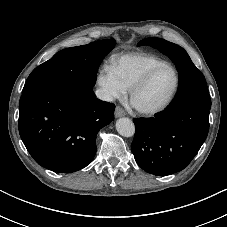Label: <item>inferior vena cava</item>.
<instances>
[{"label":"inferior vena cava","mask_w":227,"mask_h":227,"mask_svg":"<svg viewBox=\"0 0 227 227\" xmlns=\"http://www.w3.org/2000/svg\"><path fill=\"white\" fill-rule=\"evenodd\" d=\"M96 97L100 100L107 101V102H112L113 101V96L107 92L105 89H97L95 91Z\"/></svg>","instance_id":"inferior-vena-cava-1"}]
</instances>
